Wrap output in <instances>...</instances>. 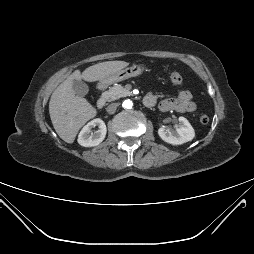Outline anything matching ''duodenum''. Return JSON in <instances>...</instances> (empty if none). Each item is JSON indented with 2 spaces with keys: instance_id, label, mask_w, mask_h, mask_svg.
I'll return each mask as SVG.
<instances>
[{
  "instance_id": "obj_1",
  "label": "duodenum",
  "mask_w": 254,
  "mask_h": 254,
  "mask_svg": "<svg viewBox=\"0 0 254 254\" xmlns=\"http://www.w3.org/2000/svg\"><path fill=\"white\" fill-rule=\"evenodd\" d=\"M143 103L147 107H151L154 105L153 100L149 97H145L143 100ZM105 105H106V98L103 95H101L97 100V107L99 109H102Z\"/></svg>"
}]
</instances>
